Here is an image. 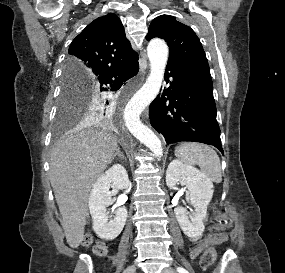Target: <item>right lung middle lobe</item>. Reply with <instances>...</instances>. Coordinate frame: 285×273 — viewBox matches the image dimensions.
Instances as JSON below:
<instances>
[{"mask_svg": "<svg viewBox=\"0 0 285 273\" xmlns=\"http://www.w3.org/2000/svg\"><path fill=\"white\" fill-rule=\"evenodd\" d=\"M90 83L64 69L56 120L58 128H64L72 122L90 116H101L107 101L98 94L99 89L93 88ZM112 102L111 100L110 103Z\"/></svg>", "mask_w": 285, "mask_h": 273, "instance_id": "right-lung-middle-lobe-1", "label": "right lung middle lobe"}]
</instances>
